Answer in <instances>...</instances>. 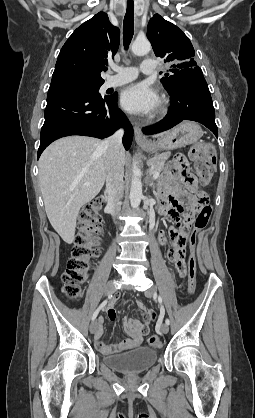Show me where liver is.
I'll return each instance as SVG.
<instances>
[{
	"label": "liver",
	"instance_id": "obj_1",
	"mask_svg": "<svg viewBox=\"0 0 255 418\" xmlns=\"http://www.w3.org/2000/svg\"><path fill=\"white\" fill-rule=\"evenodd\" d=\"M102 142L85 136L65 137L49 145L39 159V182L47 217L68 244L74 241L80 208L104 185L106 169ZM121 157L125 165L123 147ZM85 183L90 185L85 186Z\"/></svg>",
	"mask_w": 255,
	"mask_h": 418
}]
</instances>
